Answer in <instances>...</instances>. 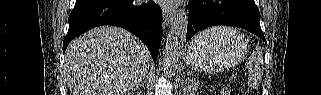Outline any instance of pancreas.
Listing matches in <instances>:
<instances>
[{
  "instance_id": "pancreas-1",
  "label": "pancreas",
  "mask_w": 321,
  "mask_h": 95,
  "mask_svg": "<svg viewBox=\"0 0 321 95\" xmlns=\"http://www.w3.org/2000/svg\"><path fill=\"white\" fill-rule=\"evenodd\" d=\"M187 83H188L189 90L193 95L200 88V83L195 78L188 79Z\"/></svg>"
}]
</instances>
